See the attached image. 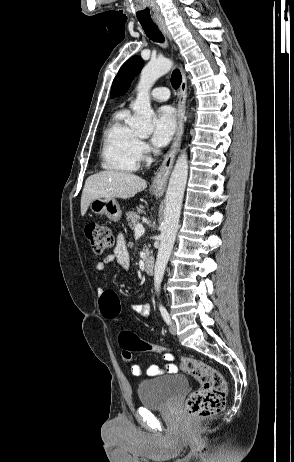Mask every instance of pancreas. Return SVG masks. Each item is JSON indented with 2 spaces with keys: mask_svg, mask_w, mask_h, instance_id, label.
Returning a JSON list of instances; mask_svg holds the SVG:
<instances>
[{
  "mask_svg": "<svg viewBox=\"0 0 294 462\" xmlns=\"http://www.w3.org/2000/svg\"><path fill=\"white\" fill-rule=\"evenodd\" d=\"M139 213L140 212L136 213V212H132V211H129V212L126 213V218H127V221H128V225L132 230H135L136 225L140 224V215H139ZM143 250H144L145 253L148 251V249L146 247Z\"/></svg>",
  "mask_w": 294,
  "mask_h": 462,
  "instance_id": "pancreas-1",
  "label": "pancreas"
}]
</instances>
